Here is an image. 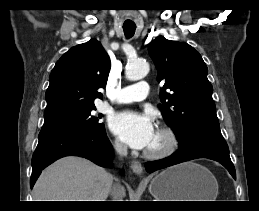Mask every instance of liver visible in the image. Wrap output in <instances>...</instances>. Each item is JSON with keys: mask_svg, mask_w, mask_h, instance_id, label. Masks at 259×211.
Masks as SVG:
<instances>
[{"mask_svg": "<svg viewBox=\"0 0 259 211\" xmlns=\"http://www.w3.org/2000/svg\"><path fill=\"white\" fill-rule=\"evenodd\" d=\"M113 176L87 159L69 156L47 167L33 188L34 201H107ZM125 196L124 187L119 197Z\"/></svg>", "mask_w": 259, "mask_h": 211, "instance_id": "6515ba94", "label": "liver"}]
</instances>
